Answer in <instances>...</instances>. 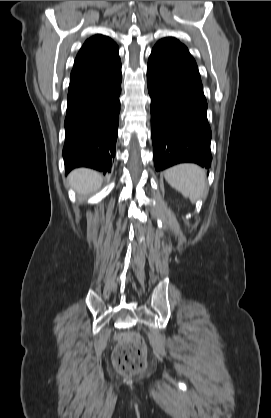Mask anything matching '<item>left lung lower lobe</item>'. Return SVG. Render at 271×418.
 Listing matches in <instances>:
<instances>
[{
  "label": "left lung lower lobe",
  "instance_id": "obj_1",
  "mask_svg": "<svg viewBox=\"0 0 271 418\" xmlns=\"http://www.w3.org/2000/svg\"><path fill=\"white\" fill-rule=\"evenodd\" d=\"M151 136L157 171L181 162L211 166V129L200 74L175 38L156 43L147 66Z\"/></svg>",
  "mask_w": 271,
  "mask_h": 418
}]
</instances>
